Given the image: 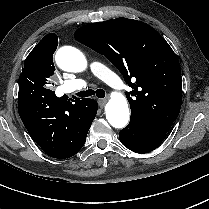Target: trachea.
Wrapping results in <instances>:
<instances>
[{"mask_svg": "<svg viewBox=\"0 0 209 209\" xmlns=\"http://www.w3.org/2000/svg\"><path fill=\"white\" fill-rule=\"evenodd\" d=\"M76 95L81 98L89 97V96H97L98 98H104L105 91L103 89H97V90L90 89L86 91H80Z\"/></svg>", "mask_w": 209, "mask_h": 209, "instance_id": "obj_1", "label": "trachea"}]
</instances>
